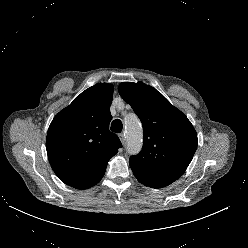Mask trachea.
<instances>
[{
  "mask_svg": "<svg viewBox=\"0 0 248 248\" xmlns=\"http://www.w3.org/2000/svg\"><path fill=\"white\" fill-rule=\"evenodd\" d=\"M123 125L121 120L119 119H115L112 123H111V131L115 132V133H120L122 131Z\"/></svg>",
  "mask_w": 248,
  "mask_h": 248,
  "instance_id": "obj_1",
  "label": "trachea"
}]
</instances>
